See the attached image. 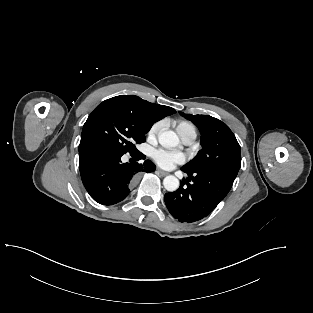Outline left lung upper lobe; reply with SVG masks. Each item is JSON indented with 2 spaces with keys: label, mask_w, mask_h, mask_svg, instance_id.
<instances>
[{
  "label": "left lung upper lobe",
  "mask_w": 313,
  "mask_h": 313,
  "mask_svg": "<svg viewBox=\"0 0 313 313\" xmlns=\"http://www.w3.org/2000/svg\"><path fill=\"white\" fill-rule=\"evenodd\" d=\"M193 122L202 135V149L182 168L188 172L221 171L237 176L241 166L240 145L230 128L208 115L179 112Z\"/></svg>",
  "instance_id": "5c2ea615"
}]
</instances>
